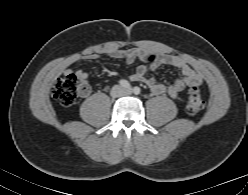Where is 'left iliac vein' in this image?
<instances>
[{"mask_svg":"<svg viewBox=\"0 0 248 195\" xmlns=\"http://www.w3.org/2000/svg\"><path fill=\"white\" fill-rule=\"evenodd\" d=\"M130 92H131V91H130L129 89H126V90H125V94H130Z\"/></svg>","mask_w":248,"mask_h":195,"instance_id":"obj_1","label":"left iliac vein"}]
</instances>
